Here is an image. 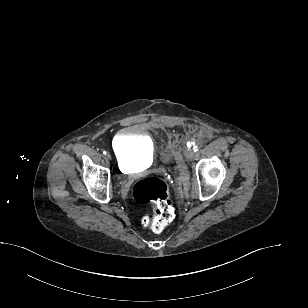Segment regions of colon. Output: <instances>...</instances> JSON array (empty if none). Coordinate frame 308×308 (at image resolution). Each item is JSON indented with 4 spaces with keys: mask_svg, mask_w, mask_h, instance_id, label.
Here are the masks:
<instances>
[{
    "mask_svg": "<svg viewBox=\"0 0 308 308\" xmlns=\"http://www.w3.org/2000/svg\"><path fill=\"white\" fill-rule=\"evenodd\" d=\"M132 194L141 205L150 204L152 215L143 218V225L154 232L162 231L173 220L175 210L170 198V190L165 181L157 177H145L135 182Z\"/></svg>",
    "mask_w": 308,
    "mask_h": 308,
    "instance_id": "colon-1",
    "label": "colon"
}]
</instances>
